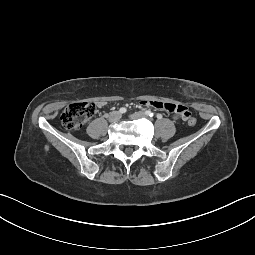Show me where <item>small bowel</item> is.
<instances>
[{
    "instance_id": "c3829d8e",
    "label": "small bowel",
    "mask_w": 255,
    "mask_h": 255,
    "mask_svg": "<svg viewBox=\"0 0 255 255\" xmlns=\"http://www.w3.org/2000/svg\"><path fill=\"white\" fill-rule=\"evenodd\" d=\"M141 104L143 106H149L160 111L176 114L180 120H187L191 116L190 109L184 105H176L172 103H164V102L154 101V100H144L141 102ZM104 105H105L104 102L98 103L99 107H103Z\"/></svg>"
}]
</instances>
